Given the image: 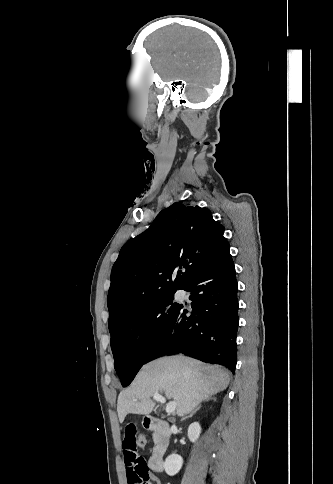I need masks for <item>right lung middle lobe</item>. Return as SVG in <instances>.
<instances>
[{"instance_id": "obj_1", "label": "right lung middle lobe", "mask_w": 333, "mask_h": 484, "mask_svg": "<svg viewBox=\"0 0 333 484\" xmlns=\"http://www.w3.org/2000/svg\"><path fill=\"white\" fill-rule=\"evenodd\" d=\"M168 293L138 306L109 326L114 367L128 386L157 340L170 326L179 307Z\"/></svg>"}]
</instances>
